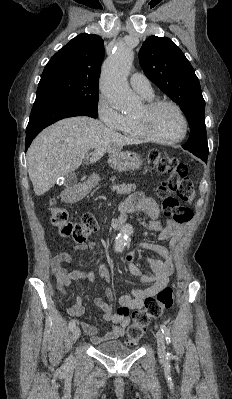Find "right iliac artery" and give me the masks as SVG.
Instances as JSON below:
<instances>
[{"label":"right iliac artery","mask_w":232,"mask_h":399,"mask_svg":"<svg viewBox=\"0 0 232 399\" xmlns=\"http://www.w3.org/2000/svg\"><path fill=\"white\" fill-rule=\"evenodd\" d=\"M75 326H76V320L75 319H72L71 321H70V323H69V330H73L74 328H75Z\"/></svg>","instance_id":"1"}]
</instances>
